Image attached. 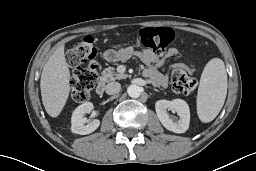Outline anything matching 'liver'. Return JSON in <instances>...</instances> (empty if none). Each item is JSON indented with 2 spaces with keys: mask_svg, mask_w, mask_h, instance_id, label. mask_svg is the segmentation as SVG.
Wrapping results in <instances>:
<instances>
[{
  "mask_svg": "<svg viewBox=\"0 0 256 171\" xmlns=\"http://www.w3.org/2000/svg\"><path fill=\"white\" fill-rule=\"evenodd\" d=\"M70 88V71L65 60L64 45H61L45 63L41 74L42 102L49 116H59L69 97Z\"/></svg>",
  "mask_w": 256,
  "mask_h": 171,
  "instance_id": "6515ba94",
  "label": "liver"
}]
</instances>
